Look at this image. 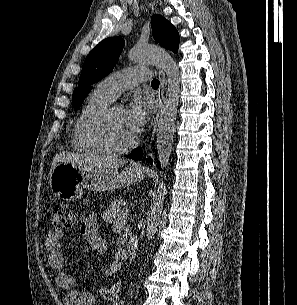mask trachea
Instances as JSON below:
<instances>
[{"mask_svg": "<svg viewBox=\"0 0 297 305\" xmlns=\"http://www.w3.org/2000/svg\"><path fill=\"white\" fill-rule=\"evenodd\" d=\"M151 86L152 87H159V80L153 79L152 82H151Z\"/></svg>", "mask_w": 297, "mask_h": 305, "instance_id": "3493384b", "label": "trachea"}]
</instances>
